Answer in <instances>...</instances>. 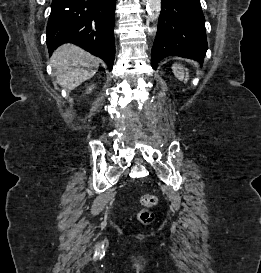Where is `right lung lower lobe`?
Masks as SVG:
<instances>
[{"mask_svg":"<svg viewBox=\"0 0 261 273\" xmlns=\"http://www.w3.org/2000/svg\"><path fill=\"white\" fill-rule=\"evenodd\" d=\"M115 5L116 0H53L46 31L49 53L63 43H74L112 70Z\"/></svg>","mask_w":261,"mask_h":273,"instance_id":"right-lung-lower-lobe-1","label":"right lung lower lobe"}]
</instances>
